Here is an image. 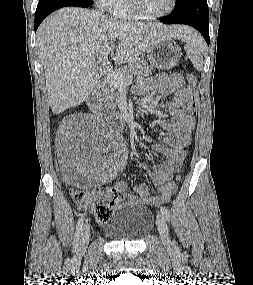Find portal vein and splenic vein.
Returning a JSON list of instances; mask_svg holds the SVG:
<instances>
[{
	"mask_svg": "<svg viewBox=\"0 0 253 285\" xmlns=\"http://www.w3.org/2000/svg\"><path fill=\"white\" fill-rule=\"evenodd\" d=\"M112 49L113 46L109 47L106 52H102L101 56L98 57L107 79H109L113 84L118 86H123L132 83V75H127L126 77H123L121 74L116 72L108 62L107 57L112 51Z\"/></svg>",
	"mask_w": 253,
	"mask_h": 285,
	"instance_id": "18ae733b",
	"label": "portal vein and splenic vein"
}]
</instances>
